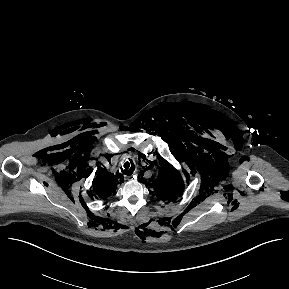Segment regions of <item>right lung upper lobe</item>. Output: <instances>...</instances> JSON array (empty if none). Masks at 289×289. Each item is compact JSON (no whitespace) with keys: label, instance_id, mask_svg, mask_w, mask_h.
<instances>
[{"label":"right lung upper lobe","instance_id":"right-lung-upper-lobe-1","mask_svg":"<svg viewBox=\"0 0 289 289\" xmlns=\"http://www.w3.org/2000/svg\"><path fill=\"white\" fill-rule=\"evenodd\" d=\"M99 174L94 180L95 197L106 199L116 192V185L119 183L117 177L113 178L105 169H99ZM120 181L122 179L120 178Z\"/></svg>","mask_w":289,"mask_h":289}]
</instances>
